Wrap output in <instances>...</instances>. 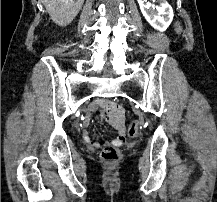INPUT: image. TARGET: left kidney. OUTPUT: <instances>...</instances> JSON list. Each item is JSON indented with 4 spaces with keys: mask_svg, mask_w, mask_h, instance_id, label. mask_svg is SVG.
<instances>
[{
    "mask_svg": "<svg viewBox=\"0 0 217 202\" xmlns=\"http://www.w3.org/2000/svg\"><path fill=\"white\" fill-rule=\"evenodd\" d=\"M140 10L147 22H149L152 28L159 30V32H165L168 26H170L173 20V10L166 0H157L159 6H154L147 0H137Z\"/></svg>",
    "mask_w": 217,
    "mask_h": 202,
    "instance_id": "obj_1",
    "label": "left kidney"
}]
</instances>
